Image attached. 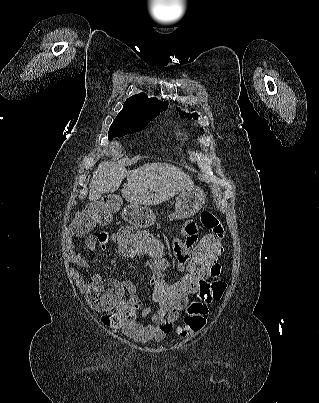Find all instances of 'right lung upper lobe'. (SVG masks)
<instances>
[{
	"label": "right lung upper lobe",
	"instance_id": "cb5924a9",
	"mask_svg": "<svg viewBox=\"0 0 319 403\" xmlns=\"http://www.w3.org/2000/svg\"><path fill=\"white\" fill-rule=\"evenodd\" d=\"M167 108V102L159 101L157 98H148L145 93H140L125 101L123 110L118 116L133 120H145L159 115Z\"/></svg>",
	"mask_w": 319,
	"mask_h": 403
}]
</instances>
